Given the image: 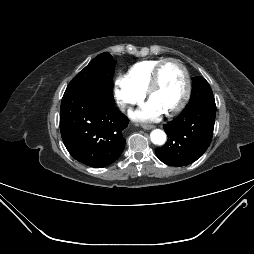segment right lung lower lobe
<instances>
[{"label":"right lung lower lobe","mask_w":254,"mask_h":254,"mask_svg":"<svg viewBox=\"0 0 254 254\" xmlns=\"http://www.w3.org/2000/svg\"><path fill=\"white\" fill-rule=\"evenodd\" d=\"M128 118L114 107V99L96 100L82 94H64L60 109L63 142L77 161L94 168L119 158Z\"/></svg>","instance_id":"obj_1"}]
</instances>
